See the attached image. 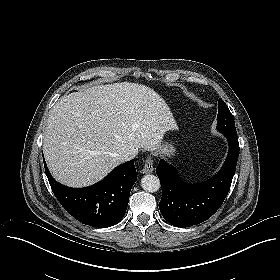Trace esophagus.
Segmentation results:
<instances>
[{
	"label": "esophagus",
	"mask_w": 280,
	"mask_h": 280,
	"mask_svg": "<svg viewBox=\"0 0 280 280\" xmlns=\"http://www.w3.org/2000/svg\"><path fill=\"white\" fill-rule=\"evenodd\" d=\"M154 171V165H153V160L151 157H147L145 161V165L142 169V172L145 174H150Z\"/></svg>",
	"instance_id": "34e87169"
}]
</instances>
